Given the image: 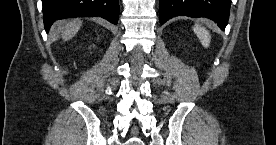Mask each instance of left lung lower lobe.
<instances>
[{"label":"left lung lower lobe","mask_w":276,"mask_h":145,"mask_svg":"<svg viewBox=\"0 0 276 145\" xmlns=\"http://www.w3.org/2000/svg\"><path fill=\"white\" fill-rule=\"evenodd\" d=\"M230 5L231 0H160L159 20L163 24L175 16L207 17L224 30Z\"/></svg>","instance_id":"1"}]
</instances>
